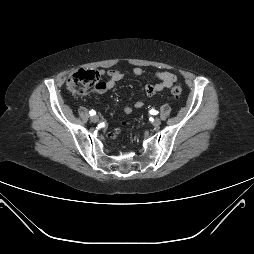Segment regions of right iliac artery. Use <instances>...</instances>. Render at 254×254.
Instances as JSON below:
<instances>
[{
    "label": "right iliac artery",
    "mask_w": 254,
    "mask_h": 254,
    "mask_svg": "<svg viewBox=\"0 0 254 254\" xmlns=\"http://www.w3.org/2000/svg\"><path fill=\"white\" fill-rule=\"evenodd\" d=\"M89 114H90V115H95L96 112H95L94 110H91V111H89Z\"/></svg>",
    "instance_id": "1"
}]
</instances>
